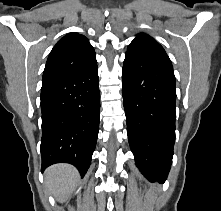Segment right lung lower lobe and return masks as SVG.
Here are the masks:
<instances>
[{"label":"right lung lower lobe","mask_w":221,"mask_h":211,"mask_svg":"<svg viewBox=\"0 0 221 211\" xmlns=\"http://www.w3.org/2000/svg\"><path fill=\"white\" fill-rule=\"evenodd\" d=\"M42 167L74 165L83 177L96 146L100 92L97 64L42 83Z\"/></svg>","instance_id":"obj_1"}]
</instances>
